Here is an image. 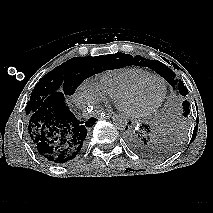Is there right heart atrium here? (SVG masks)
Segmentation results:
<instances>
[{
	"label": "right heart atrium",
	"mask_w": 213,
	"mask_h": 213,
	"mask_svg": "<svg viewBox=\"0 0 213 213\" xmlns=\"http://www.w3.org/2000/svg\"><path fill=\"white\" fill-rule=\"evenodd\" d=\"M77 100L82 105H97L106 102L107 98L99 91L95 83L84 82L77 92Z\"/></svg>",
	"instance_id": "right-heart-atrium-1"
}]
</instances>
